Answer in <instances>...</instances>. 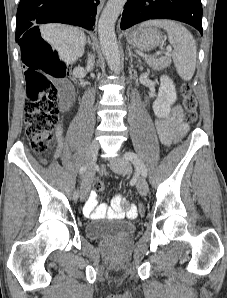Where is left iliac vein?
<instances>
[{
    "label": "left iliac vein",
    "mask_w": 227,
    "mask_h": 298,
    "mask_svg": "<svg viewBox=\"0 0 227 298\" xmlns=\"http://www.w3.org/2000/svg\"><path fill=\"white\" fill-rule=\"evenodd\" d=\"M111 169L119 174H128L131 172V165L126 158H117L110 164ZM137 188L141 195H147L149 192V186L147 181L143 177L137 179Z\"/></svg>",
    "instance_id": "1"
}]
</instances>
